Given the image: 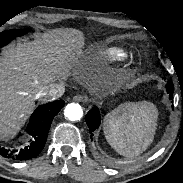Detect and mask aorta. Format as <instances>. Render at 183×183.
<instances>
[{"mask_svg":"<svg viewBox=\"0 0 183 183\" xmlns=\"http://www.w3.org/2000/svg\"><path fill=\"white\" fill-rule=\"evenodd\" d=\"M64 116L70 121H78L83 116L82 107L77 103H69L64 109Z\"/></svg>","mask_w":183,"mask_h":183,"instance_id":"1","label":"aorta"}]
</instances>
